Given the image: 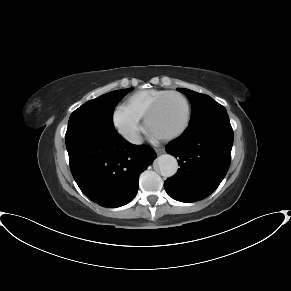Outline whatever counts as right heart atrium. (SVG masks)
Listing matches in <instances>:
<instances>
[{
    "mask_svg": "<svg viewBox=\"0 0 291 291\" xmlns=\"http://www.w3.org/2000/svg\"><path fill=\"white\" fill-rule=\"evenodd\" d=\"M114 127L127 141L134 142L138 139L141 130V118L125 105H118L112 116Z\"/></svg>",
    "mask_w": 291,
    "mask_h": 291,
    "instance_id": "obj_1",
    "label": "right heart atrium"
}]
</instances>
